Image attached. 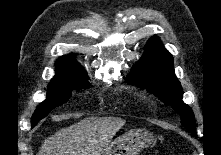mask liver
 <instances>
[{"label":"liver","instance_id":"6515ba94","mask_svg":"<svg viewBox=\"0 0 221 155\" xmlns=\"http://www.w3.org/2000/svg\"><path fill=\"white\" fill-rule=\"evenodd\" d=\"M126 121L118 117H91L45 139L38 155H102Z\"/></svg>","mask_w":221,"mask_h":155}]
</instances>
